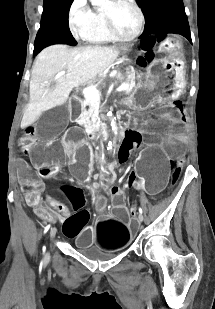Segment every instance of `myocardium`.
I'll list each match as a JSON object with an SVG mask.
<instances>
[{
	"mask_svg": "<svg viewBox=\"0 0 215 309\" xmlns=\"http://www.w3.org/2000/svg\"><path fill=\"white\" fill-rule=\"evenodd\" d=\"M121 7H126L132 12L134 24L132 29L131 27H114V21L112 19L105 21V30H108L106 35H109L111 38H116L117 43L134 40L139 35L143 24L142 14L135 5L122 4Z\"/></svg>",
	"mask_w": 215,
	"mask_h": 309,
	"instance_id": "1",
	"label": "myocardium"
}]
</instances>
